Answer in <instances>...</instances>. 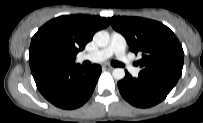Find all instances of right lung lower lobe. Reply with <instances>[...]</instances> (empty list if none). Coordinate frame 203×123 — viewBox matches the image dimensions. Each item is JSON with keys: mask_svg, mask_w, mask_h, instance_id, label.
I'll use <instances>...</instances> for the list:
<instances>
[{"mask_svg": "<svg viewBox=\"0 0 203 123\" xmlns=\"http://www.w3.org/2000/svg\"><path fill=\"white\" fill-rule=\"evenodd\" d=\"M31 70L40 93L53 105L63 109L82 106L91 97L101 74L99 65L85 69L75 63Z\"/></svg>", "mask_w": 203, "mask_h": 123, "instance_id": "98d812e1", "label": "right lung lower lobe"}]
</instances>
